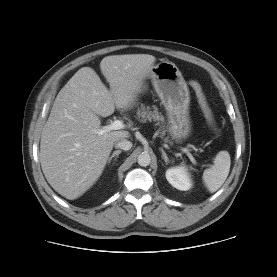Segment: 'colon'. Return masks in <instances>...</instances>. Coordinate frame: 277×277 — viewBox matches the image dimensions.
<instances>
[{"mask_svg": "<svg viewBox=\"0 0 277 277\" xmlns=\"http://www.w3.org/2000/svg\"><path fill=\"white\" fill-rule=\"evenodd\" d=\"M190 85H191V87L193 88V90L196 93L198 102H199V104L201 106V109H202V111L204 113V116H205L208 124L210 125V127L216 133H218L219 130H218V127H217L216 122H215L214 114L212 112L211 107L208 104V101H207L206 96H205V94H204V92L202 90L201 85L197 81H190Z\"/></svg>", "mask_w": 277, "mask_h": 277, "instance_id": "colon-1", "label": "colon"}]
</instances>
